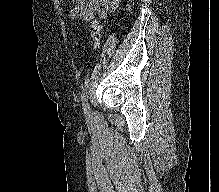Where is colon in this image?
<instances>
[{"label":"colon","instance_id":"obj_1","mask_svg":"<svg viewBox=\"0 0 219 192\" xmlns=\"http://www.w3.org/2000/svg\"><path fill=\"white\" fill-rule=\"evenodd\" d=\"M90 38L95 49L101 45L102 29L99 23L94 22L90 27Z\"/></svg>","mask_w":219,"mask_h":192}]
</instances>
